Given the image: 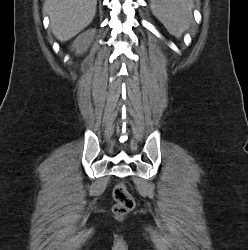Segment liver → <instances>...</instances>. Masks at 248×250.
Returning <instances> with one entry per match:
<instances>
[{"label":"liver","mask_w":248,"mask_h":250,"mask_svg":"<svg viewBox=\"0 0 248 250\" xmlns=\"http://www.w3.org/2000/svg\"><path fill=\"white\" fill-rule=\"evenodd\" d=\"M97 0H45L54 36L61 42L76 36L93 20Z\"/></svg>","instance_id":"1"}]
</instances>
